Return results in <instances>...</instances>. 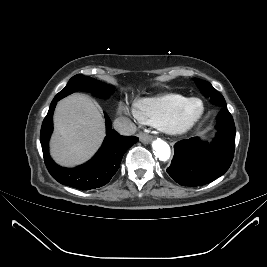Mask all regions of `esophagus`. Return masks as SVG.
<instances>
[{"mask_svg":"<svg viewBox=\"0 0 267 267\" xmlns=\"http://www.w3.org/2000/svg\"><path fill=\"white\" fill-rule=\"evenodd\" d=\"M138 137L142 143H148L152 139L150 135L144 133H139Z\"/></svg>","mask_w":267,"mask_h":267,"instance_id":"obj_1","label":"esophagus"}]
</instances>
